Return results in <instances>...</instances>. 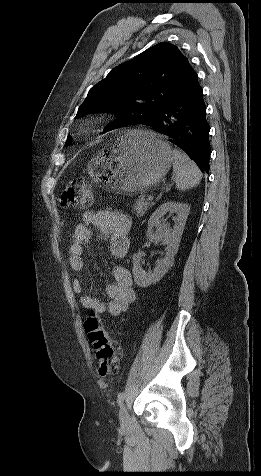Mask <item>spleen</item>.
Listing matches in <instances>:
<instances>
[{
	"label": "spleen",
	"mask_w": 261,
	"mask_h": 476,
	"mask_svg": "<svg viewBox=\"0 0 261 476\" xmlns=\"http://www.w3.org/2000/svg\"><path fill=\"white\" fill-rule=\"evenodd\" d=\"M172 156L176 188L184 191L197 186L203 176L197 165L180 150L174 149Z\"/></svg>",
	"instance_id": "3e777b00"
}]
</instances>
